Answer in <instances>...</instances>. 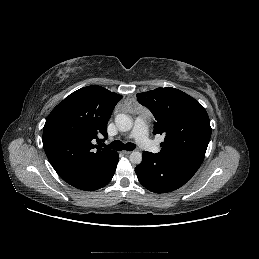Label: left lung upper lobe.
I'll use <instances>...</instances> for the list:
<instances>
[{"mask_svg":"<svg viewBox=\"0 0 259 259\" xmlns=\"http://www.w3.org/2000/svg\"><path fill=\"white\" fill-rule=\"evenodd\" d=\"M155 116L154 134H163L157 156L199 168L211 136L210 120L197 100L171 87L138 93Z\"/></svg>","mask_w":259,"mask_h":259,"instance_id":"1","label":"left lung upper lobe"}]
</instances>
